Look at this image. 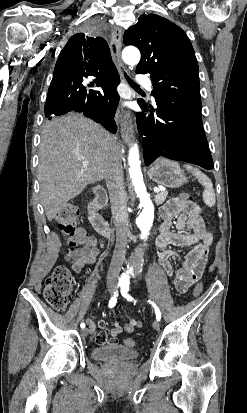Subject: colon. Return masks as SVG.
Returning a JSON list of instances; mask_svg holds the SVG:
<instances>
[{"label": "colon", "mask_w": 247, "mask_h": 413, "mask_svg": "<svg viewBox=\"0 0 247 413\" xmlns=\"http://www.w3.org/2000/svg\"><path fill=\"white\" fill-rule=\"evenodd\" d=\"M180 204L185 207H192L194 201L192 198H187L185 195L178 197ZM79 217L78 206L74 203L65 205L57 214L56 224L58 230L64 235L70 246V250H74L78 241L82 239L83 233L78 232L74 223ZM202 282L197 283L194 289V295L199 296L202 292ZM72 293V277L70 268L66 265L57 266L51 274H49L44 283V296L47 303L55 310H65ZM124 345L134 347L135 340L127 338L124 340Z\"/></svg>", "instance_id": "5ec220e1"}]
</instances>
